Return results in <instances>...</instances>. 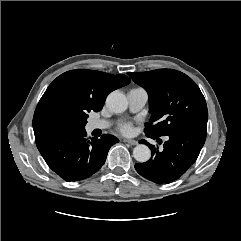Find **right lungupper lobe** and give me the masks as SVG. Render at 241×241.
Wrapping results in <instances>:
<instances>
[{"instance_id":"1","label":"right lung upper lobe","mask_w":241,"mask_h":241,"mask_svg":"<svg viewBox=\"0 0 241 241\" xmlns=\"http://www.w3.org/2000/svg\"><path fill=\"white\" fill-rule=\"evenodd\" d=\"M130 83L126 75L96 70H71L58 76L41 97L33 117L35 136L50 131L60 118L79 122L103 108L108 94Z\"/></svg>"}]
</instances>
